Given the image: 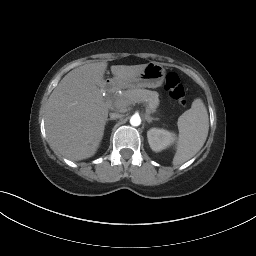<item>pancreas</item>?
<instances>
[{
	"label": "pancreas",
	"instance_id": "pancreas-1",
	"mask_svg": "<svg viewBox=\"0 0 256 256\" xmlns=\"http://www.w3.org/2000/svg\"><path fill=\"white\" fill-rule=\"evenodd\" d=\"M159 94L156 91L146 89H129L118 94L116 104L119 107L126 108L131 104L144 103L150 112H155L159 106Z\"/></svg>",
	"mask_w": 256,
	"mask_h": 256
}]
</instances>
